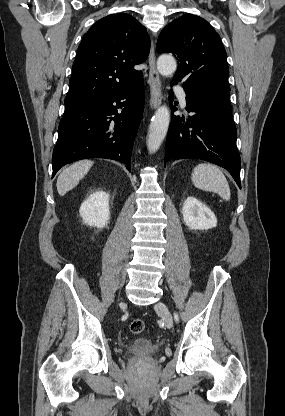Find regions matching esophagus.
<instances>
[{"label": "esophagus", "mask_w": 285, "mask_h": 416, "mask_svg": "<svg viewBox=\"0 0 285 416\" xmlns=\"http://www.w3.org/2000/svg\"><path fill=\"white\" fill-rule=\"evenodd\" d=\"M149 77L148 84L150 87V108L156 109L162 100V88L159 73L156 68L155 50L153 41L151 42L150 54L148 57Z\"/></svg>", "instance_id": "esophagus-1"}]
</instances>
